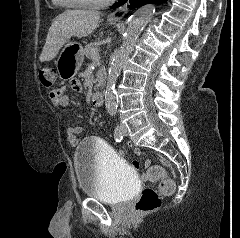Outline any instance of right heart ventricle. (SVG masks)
<instances>
[{"label":"right heart ventricle","instance_id":"obj_1","mask_svg":"<svg viewBox=\"0 0 240 238\" xmlns=\"http://www.w3.org/2000/svg\"><path fill=\"white\" fill-rule=\"evenodd\" d=\"M51 1H52V3H53L54 5H56V6L69 7V6L65 5V4L62 2V0H51Z\"/></svg>","mask_w":240,"mask_h":238}]
</instances>
